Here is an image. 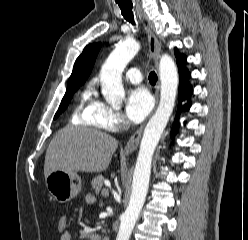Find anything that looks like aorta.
I'll use <instances>...</instances> for the list:
<instances>
[{
	"label": "aorta",
	"instance_id": "obj_1",
	"mask_svg": "<svg viewBox=\"0 0 248 240\" xmlns=\"http://www.w3.org/2000/svg\"><path fill=\"white\" fill-rule=\"evenodd\" d=\"M139 50L140 44L137 41H124L113 50L101 68L102 94L112 106L121 105L125 97L122 72ZM159 71L161 81L160 102L155 114L144 129L133 175L130 201L121 217L116 240H129L130 238L147 195L155 148L175 105L179 80L177 67L170 56L162 55Z\"/></svg>",
	"mask_w": 248,
	"mask_h": 240
}]
</instances>
